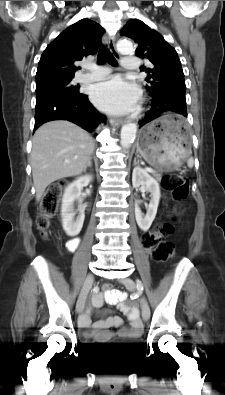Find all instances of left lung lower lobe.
Listing matches in <instances>:
<instances>
[{"label": "left lung lower lobe", "instance_id": "left-lung-lower-lobe-1", "mask_svg": "<svg viewBox=\"0 0 225 395\" xmlns=\"http://www.w3.org/2000/svg\"><path fill=\"white\" fill-rule=\"evenodd\" d=\"M152 108L146 113L145 118L140 121V127L146 123L154 120L164 112H175L181 116H187L185 96L172 95V96H152Z\"/></svg>", "mask_w": 225, "mask_h": 395}]
</instances>
